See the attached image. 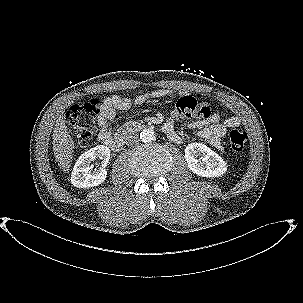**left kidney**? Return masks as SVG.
Here are the masks:
<instances>
[{
  "label": "left kidney",
  "mask_w": 303,
  "mask_h": 303,
  "mask_svg": "<svg viewBox=\"0 0 303 303\" xmlns=\"http://www.w3.org/2000/svg\"><path fill=\"white\" fill-rule=\"evenodd\" d=\"M189 169L202 177H219L227 170V163L202 143H191L185 149Z\"/></svg>",
  "instance_id": "1"
}]
</instances>
